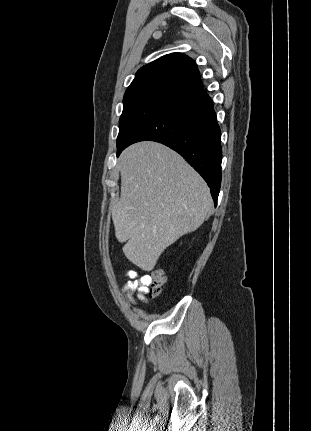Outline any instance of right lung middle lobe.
<instances>
[{"mask_svg": "<svg viewBox=\"0 0 311 431\" xmlns=\"http://www.w3.org/2000/svg\"><path fill=\"white\" fill-rule=\"evenodd\" d=\"M180 96L158 89H141L124 94L123 112L119 121L117 156L133 133L147 120Z\"/></svg>", "mask_w": 311, "mask_h": 431, "instance_id": "obj_1", "label": "right lung middle lobe"}]
</instances>
